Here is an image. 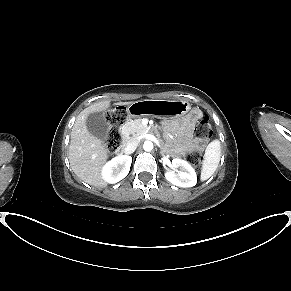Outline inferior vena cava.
<instances>
[{
  "instance_id": "1",
  "label": "inferior vena cava",
  "mask_w": 291,
  "mask_h": 291,
  "mask_svg": "<svg viewBox=\"0 0 291 291\" xmlns=\"http://www.w3.org/2000/svg\"><path fill=\"white\" fill-rule=\"evenodd\" d=\"M138 146V141L135 139H131L127 142L126 147L124 148V153L129 155L132 154Z\"/></svg>"
}]
</instances>
